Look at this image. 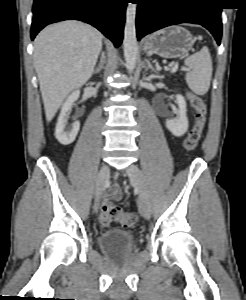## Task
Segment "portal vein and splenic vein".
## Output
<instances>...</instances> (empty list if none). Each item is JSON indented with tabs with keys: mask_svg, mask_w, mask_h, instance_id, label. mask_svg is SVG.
Wrapping results in <instances>:
<instances>
[{
	"mask_svg": "<svg viewBox=\"0 0 246 300\" xmlns=\"http://www.w3.org/2000/svg\"><path fill=\"white\" fill-rule=\"evenodd\" d=\"M178 70V65H174V67H172L171 72L175 73Z\"/></svg>",
	"mask_w": 246,
	"mask_h": 300,
	"instance_id": "1",
	"label": "portal vein and splenic vein"
}]
</instances>
